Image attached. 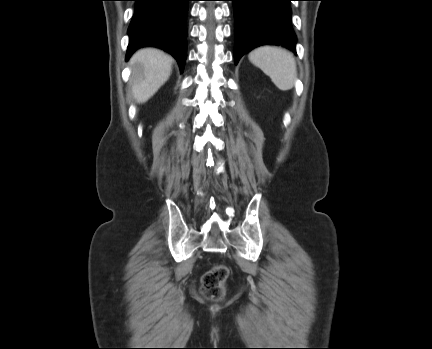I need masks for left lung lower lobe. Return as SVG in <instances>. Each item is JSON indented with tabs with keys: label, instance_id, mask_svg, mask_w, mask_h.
<instances>
[{
	"label": "left lung lower lobe",
	"instance_id": "0a47b994",
	"mask_svg": "<svg viewBox=\"0 0 432 349\" xmlns=\"http://www.w3.org/2000/svg\"><path fill=\"white\" fill-rule=\"evenodd\" d=\"M235 17V64L261 45H282L296 53L291 27L292 0H231Z\"/></svg>",
	"mask_w": 432,
	"mask_h": 349
}]
</instances>
